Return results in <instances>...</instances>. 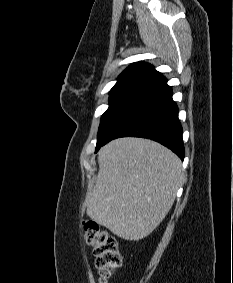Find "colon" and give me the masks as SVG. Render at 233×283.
<instances>
[{"instance_id": "5ec220e1", "label": "colon", "mask_w": 233, "mask_h": 283, "mask_svg": "<svg viewBox=\"0 0 233 283\" xmlns=\"http://www.w3.org/2000/svg\"><path fill=\"white\" fill-rule=\"evenodd\" d=\"M82 228L86 242L93 248L100 283H107L122 261L117 241L94 221H84Z\"/></svg>"}]
</instances>
